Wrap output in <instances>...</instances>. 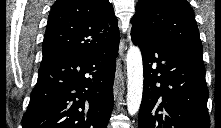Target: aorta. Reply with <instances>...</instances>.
<instances>
[{"label": "aorta", "instance_id": "1", "mask_svg": "<svg viewBox=\"0 0 221 128\" xmlns=\"http://www.w3.org/2000/svg\"><path fill=\"white\" fill-rule=\"evenodd\" d=\"M127 109L130 115H135L142 101L143 93V61L141 51L137 46H131L127 52Z\"/></svg>", "mask_w": 221, "mask_h": 128}]
</instances>
